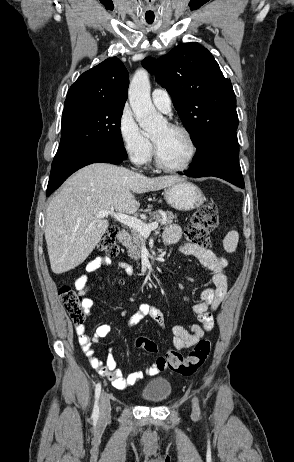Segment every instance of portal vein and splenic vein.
I'll use <instances>...</instances> for the list:
<instances>
[{
	"label": "portal vein and splenic vein",
	"mask_w": 294,
	"mask_h": 462,
	"mask_svg": "<svg viewBox=\"0 0 294 462\" xmlns=\"http://www.w3.org/2000/svg\"><path fill=\"white\" fill-rule=\"evenodd\" d=\"M114 217L117 221L121 222L124 225L129 226L140 232L143 236H149L152 230L158 228V222H154L151 224H145L140 219L135 217L129 216L123 213H115L114 210H103L96 214V218H104L107 216Z\"/></svg>",
	"instance_id": "1"
}]
</instances>
